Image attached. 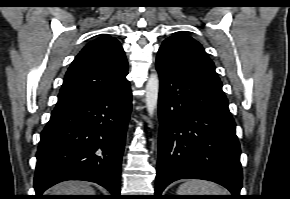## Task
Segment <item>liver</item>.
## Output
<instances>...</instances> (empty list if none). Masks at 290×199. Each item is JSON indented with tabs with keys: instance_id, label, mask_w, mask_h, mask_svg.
I'll list each match as a JSON object with an SVG mask.
<instances>
[{
	"instance_id": "obj_1",
	"label": "liver",
	"mask_w": 290,
	"mask_h": 199,
	"mask_svg": "<svg viewBox=\"0 0 290 199\" xmlns=\"http://www.w3.org/2000/svg\"><path fill=\"white\" fill-rule=\"evenodd\" d=\"M51 195H94V189L86 182L67 181L62 182L49 191Z\"/></svg>"
}]
</instances>
